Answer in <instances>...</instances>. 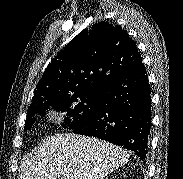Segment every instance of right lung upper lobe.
<instances>
[{
	"mask_svg": "<svg viewBox=\"0 0 183 179\" xmlns=\"http://www.w3.org/2000/svg\"><path fill=\"white\" fill-rule=\"evenodd\" d=\"M142 65L137 45L124 29L98 22L74 37L47 66L31 106L55 97L100 94Z\"/></svg>",
	"mask_w": 183,
	"mask_h": 179,
	"instance_id": "1",
	"label": "right lung upper lobe"
}]
</instances>
